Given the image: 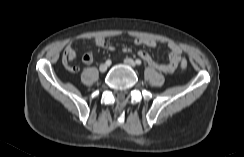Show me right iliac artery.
<instances>
[{
	"label": "right iliac artery",
	"mask_w": 244,
	"mask_h": 157,
	"mask_svg": "<svg viewBox=\"0 0 244 157\" xmlns=\"http://www.w3.org/2000/svg\"><path fill=\"white\" fill-rule=\"evenodd\" d=\"M106 64H107V65H110V64H111V60L108 59V60L106 61Z\"/></svg>",
	"instance_id": "1"
}]
</instances>
